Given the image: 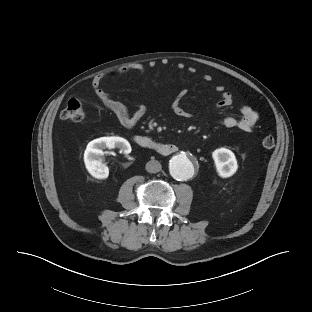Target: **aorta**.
I'll return each mask as SVG.
<instances>
[{
	"instance_id": "762f6f07",
	"label": "aorta",
	"mask_w": 312,
	"mask_h": 312,
	"mask_svg": "<svg viewBox=\"0 0 312 312\" xmlns=\"http://www.w3.org/2000/svg\"><path fill=\"white\" fill-rule=\"evenodd\" d=\"M196 170V163L189 156L180 154L174 156L169 163L171 176L179 181L190 179Z\"/></svg>"
}]
</instances>
